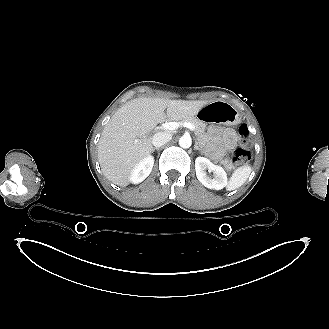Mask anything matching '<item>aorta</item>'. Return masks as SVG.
I'll return each instance as SVG.
<instances>
[{"mask_svg": "<svg viewBox=\"0 0 329 329\" xmlns=\"http://www.w3.org/2000/svg\"><path fill=\"white\" fill-rule=\"evenodd\" d=\"M192 144V139L189 135H184L179 139V145L182 148H189Z\"/></svg>", "mask_w": 329, "mask_h": 329, "instance_id": "aorta-1", "label": "aorta"}]
</instances>
